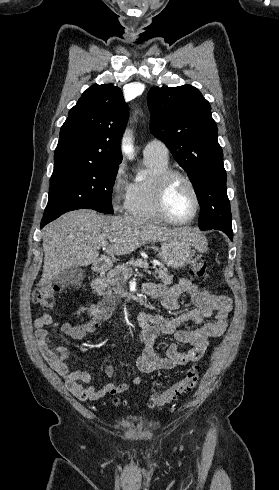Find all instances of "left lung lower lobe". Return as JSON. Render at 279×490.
Masks as SVG:
<instances>
[{
    "label": "left lung lower lobe",
    "instance_id": "obj_1",
    "mask_svg": "<svg viewBox=\"0 0 279 490\" xmlns=\"http://www.w3.org/2000/svg\"><path fill=\"white\" fill-rule=\"evenodd\" d=\"M225 233H226V234L229 236V238L232 240V238H233V232H232V230H228V231H227V232H225Z\"/></svg>",
    "mask_w": 279,
    "mask_h": 490
}]
</instances>
